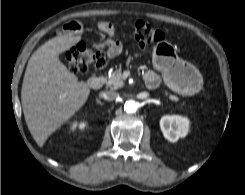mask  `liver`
<instances>
[{"label": "liver", "mask_w": 245, "mask_h": 195, "mask_svg": "<svg viewBox=\"0 0 245 195\" xmlns=\"http://www.w3.org/2000/svg\"><path fill=\"white\" fill-rule=\"evenodd\" d=\"M81 36L58 35L39 47L25 71L21 102L27 127L38 146L87 101L90 87L59 60Z\"/></svg>", "instance_id": "liver-1"}]
</instances>
